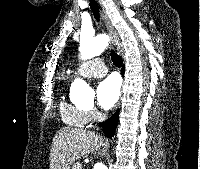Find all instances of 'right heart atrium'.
<instances>
[{
  "instance_id": "d8ad5b80",
  "label": "right heart atrium",
  "mask_w": 200,
  "mask_h": 169,
  "mask_svg": "<svg viewBox=\"0 0 200 169\" xmlns=\"http://www.w3.org/2000/svg\"><path fill=\"white\" fill-rule=\"evenodd\" d=\"M85 113L87 117V123L94 122L99 118V112L95 107L88 108L85 110Z\"/></svg>"
}]
</instances>
